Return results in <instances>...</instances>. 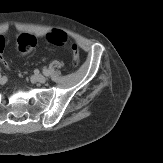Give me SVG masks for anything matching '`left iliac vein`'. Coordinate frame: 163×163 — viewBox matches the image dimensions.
I'll return each instance as SVG.
<instances>
[{
    "mask_svg": "<svg viewBox=\"0 0 163 163\" xmlns=\"http://www.w3.org/2000/svg\"><path fill=\"white\" fill-rule=\"evenodd\" d=\"M34 80H35L36 82H38V83L43 84V83H45L46 78H45V76H43L42 74H35V75H34Z\"/></svg>",
    "mask_w": 163,
    "mask_h": 163,
    "instance_id": "4c4485c4",
    "label": "left iliac vein"
}]
</instances>
